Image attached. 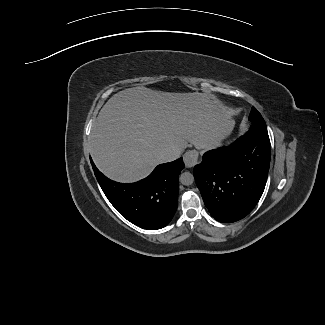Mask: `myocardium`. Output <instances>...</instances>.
Masks as SVG:
<instances>
[{"label": "myocardium", "instance_id": "1", "mask_svg": "<svg viewBox=\"0 0 325 325\" xmlns=\"http://www.w3.org/2000/svg\"><path fill=\"white\" fill-rule=\"evenodd\" d=\"M229 133L228 126L217 127L212 133L211 140L215 145L220 144L222 139Z\"/></svg>", "mask_w": 325, "mask_h": 325}]
</instances>
